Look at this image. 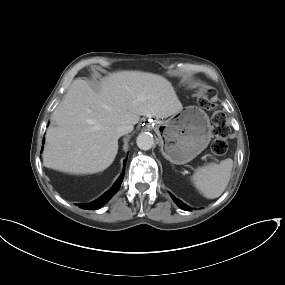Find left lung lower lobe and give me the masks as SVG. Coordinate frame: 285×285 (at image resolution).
<instances>
[{
	"label": "left lung lower lobe",
	"instance_id": "1",
	"mask_svg": "<svg viewBox=\"0 0 285 285\" xmlns=\"http://www.w3.org/2000/svg\"><path fill=\"white\" fill-rule=\"evenodd\" d=\"M172 199L174 202L183 210H190V207H188L186 204H184L182 201L176 199L172 194H171Z\"/></svg>",
	"mask_w": 285,
	"mask_h": 285
}]
</instances>
